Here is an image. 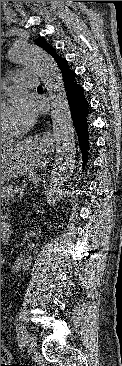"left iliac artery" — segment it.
<instances>
[{"label":"left iliac artery","mask_w":122,"mask_h":366,"mask_svg":"<svg viewBox=\"0 0 122 366\" xmlns=\"http://www.w3.org/2000/svg\"><path fill=\"white\" fill-rule=\"evenodd\" d=\"M18 330H19V332L21 333V336H22L21 340H24L23 341V346H24L25 345V342H26L25 340L27 338V334L23 333V331L21 330V327H18Z\"/></svg>","instance_id":"obj_1"}]
</instances>
